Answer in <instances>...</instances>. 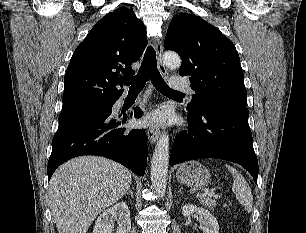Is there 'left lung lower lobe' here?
<instances>
[{
    "mask_svg": "<svg viewBox=\"0 0 306 233\" xmlns=\"http://www.w3.org/2000/svg\"><path fill=\"white\" fill-rule=\"evenodd\" d=\"M248 116V109L230 105L188 113V130L176 138L170 166L196 158L225 159L243 166L257 183L259 167Z\"/></svg>",
    "mask_w": 306,
    "mask_h": 233,
    "instance_id": "obj_1",
    "label": "left lung lower lobe"
}]
</instances>
